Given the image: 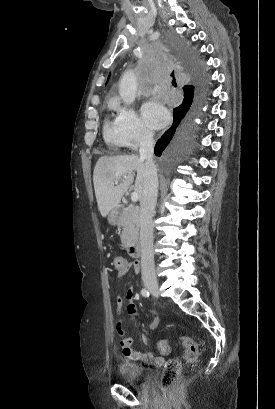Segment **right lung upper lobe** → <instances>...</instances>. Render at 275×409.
<instances>
[{
    "label": "right lung upper lobe",
    "mask_w": 275,
    "mask_h": 409,
    "mask_svg": "<svg viewBox=\"0 0 275 409\" xmlns=\"http://www.w3.org/2000/svg\"><path fill=\"white\" fill-rule=\"evenodd\" d=\"M110 75L108 76L109 79ZM183 91H184V99H183V103L186 102L194 93V86L192 85H185L183 87Z\"/></svg>",
    "instance_id": "obj_1"
}]
</instances>
